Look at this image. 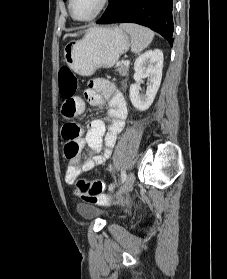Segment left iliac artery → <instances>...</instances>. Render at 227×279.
I'll use <instances>...</instances> for the list:
<instances>
[{
  "label": "left iliac artery",
  "instance_id": "44dca946",
  "mask_svg": "<svg viewBox=\"0 0 227 279\" xmlns=\"http://www.w3.org/2000/svg\"><path fill=\"white\" fill-rule=\"evenodd\" d=\"M126 177H127L126 172L124 170H122L121 171V181H122V183L126 180Z\"/></svg>",
  "mask_w": 227,
  "mask_h": 279
}]
</instances>
